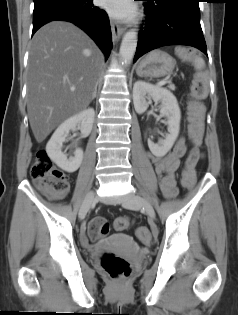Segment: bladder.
I'll list each match as a JSON object with an SVG mask.
<instances>
[{"mask_svg": "<svg viewBox=\"0 0 238 315\" xmlns=\"http://www.w3.org/2000/svg\"><path fill=\"white\" fill-rule=\"evenodd\" d=\"M112 249H131V248H112Z\"/></svg>", "mask_w": 238, "mask_h": 315, "instance_id": "obj_1", "label": "bladder"}]
</instances>
